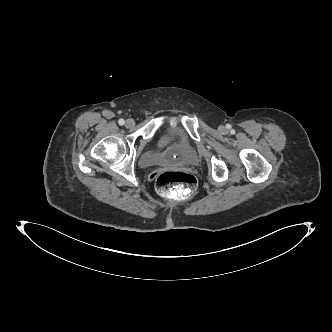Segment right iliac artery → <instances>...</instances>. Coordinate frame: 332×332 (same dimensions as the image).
<instances>
[{"label": "right iliac artery", "mask_w": 332, "mask_h": 332, "mask_svg": "<svg viewBox=\"0 0 332 332\" xmlns=\"http://www.w3.org/2000/svg\"><path fill=\"white\" fill-rule=\"evenodd\" d=\"M118 123H119V125H124L125 121H124V119H119Z\"/></svg>", "instance_id": "1"}]
</instances>
